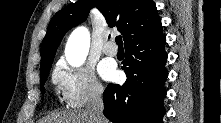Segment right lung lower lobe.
Instances as JSON below:
<instances>
[{"mask_svg": "<svg viewBox=\"0 0 221 123\" xmlns=\"http://www.w3.org/2000/svg\"><path fill=\"white\" fill-rule=\"evenodd\" d=\"M166 37L157 33L129 43L122 62L128 77L123 85L109 84L104 91V115L114 123H163Z\"/></svg>", "mask_w": 221, "mask_h": 123, "instance_id": "1", "label": "right lung lower lobe"}]
</instances>
